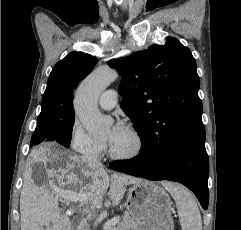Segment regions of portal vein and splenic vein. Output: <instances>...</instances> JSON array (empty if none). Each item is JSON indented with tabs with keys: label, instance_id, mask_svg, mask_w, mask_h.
Listing matches in <instances>:
<instances>
[{
	"label": "portal vein and splenic vein",
	"instance_id": "18ae733b",
	"mask_svg": "<svg viewBox=\"0 0 241 230\" xmlns=\"http://www.w3.org/2000/svg\"><path fill=\"white\" fill-rule=\"evenodd\" d=\"M57 196H61L66 200L75 201L80 203H88L89 199L85 194L71 193L66 195L64 192L57 194ZM101 201H95L93 204H99ZM119 222V217L113 218L105 224V227H112Z\"/></svg>",
	"mask_w": 241,
	"mask_h": 230
}]
</instances>
